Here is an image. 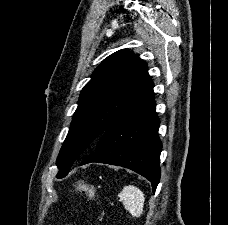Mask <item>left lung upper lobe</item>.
I'll use <instances>...</instances> for the list:
<instances>
[{
	"mask_svg": "<svg viewBox=\"0 0 228 225\" xmlns=\"http://www.w3.org/2000/svg\"><path fill=\"white\" fill-rule=\"evenodd\" d=\"M153 86L147 65L129 49L104 59L81 91L56 161L57 178L65 177L79 157L88 156L106 129L137 105Z\"/></svg>",
	"mask_w": 228,
	"mask_h": 225,
	"instance_id": "left-lung-upper-lobe-1",
	"label": "left lung upper lobe"
}]
</instances>
